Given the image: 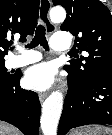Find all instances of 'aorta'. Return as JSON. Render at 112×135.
I'll use <instances>...</instances> for the list:
<instances>
[{
	"mask_svg": "<svg viewBox=\"0 0 112 135\" xmlns=\"http://www.w3.org/2000/svg\"><path fill=\"white\" fill-rule=\"evenodd\" d=\"M50 18L53 23L63 22L66 18V11L61 7L53 8L50 11ZM63 108V95L61 92L53 91L45 100L42 107L41 128L43 135H57V127Z\"/></svg>",
	"mask_w": 112,
	"mask_h": 135,
	"instance_id": "1",
	"label": "aorta"
}]
</instances>
